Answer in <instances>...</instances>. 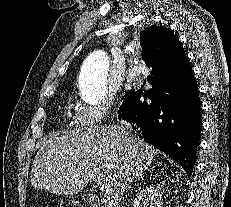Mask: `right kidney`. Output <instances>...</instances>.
Returning <instances> with one entry per match:
<instances>
[{
    "instance_id": "ca27d5eb",
    "label": "right kidney",
    "mask_w": 231,
    "mask_h": 207,
    "mask_svg": "<svg viewBox=\"0 0 231 207\" xmlns=\"http://www.w3.org/2000/svg\"><path fill=\"white\" fill-rule=\"evenodd\" d=\"M133 207H162V192L153 186L140 190L132 202Z\"/></svg>"
}]
</instances>
